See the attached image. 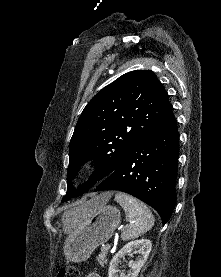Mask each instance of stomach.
I'll list each match as a JSON object with an SVG mask.
<instances>
[{"mask_svg": "<svg viewBox=\"0 0 221 277\" xmlns=\"http://www.w3.org/2000/svg\"><path fill=\"white\" fill-rule=\"evenodd\" d=\"M120 219L116 207L97 204L95 198L78 207L67 225L68 235L63 245L66 259L72 262L88 259L99 245L111 238Z\"/></svg>", "mask_w": 221, "mask_h": 277, "instance_id": "obj_1", "label": "stomach"}]
</instances>
